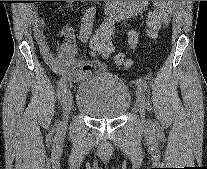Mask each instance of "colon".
Returning <instances> with one entry per match:
<instances>
[{"label": "colon", "instance_id": "5ec220e1", "mask_svg": "<svg viewBox=\"0 0 207 169\" xmlns=\"http://www.w3.org/2000/svg\"><path fill=\"white\" fill-rule=\"evenodd\" d=\"M173 2L154 1V7L147 16L148 34L151 38L156 37L157 32L168 24ZM90 46L93 55L108 56L114 48L112 32L100 29L92 38ZM115 59L117 63L125 62L122 54H118Z\"/></svg>", "mask_w": 207, "mask_h": 169}]
</instances>
